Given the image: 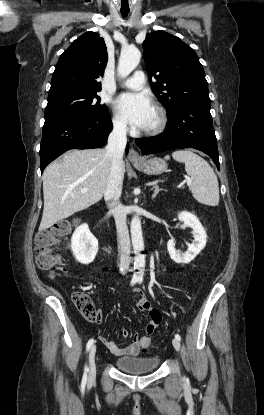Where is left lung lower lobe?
I'll use <instances>...</instances> for the list:
<instances>
[{"instance_id":"0a47b994","label":"left lung lower lobe","mask_w":264,"mask_h":415,"mask_svg":"<svg viewBox=\"0 0 264 415\" xmlns=\"http://www.w3.org/2000/svg\"><path fill=\"white\" fill-rule=\"evenodd\" d=\"M142 154H154L178 148H195L209 155L219 170V153L210 103L189 102L169 114L166 130L158 136L138 138Z\"/></svg>"}]
</instances>
